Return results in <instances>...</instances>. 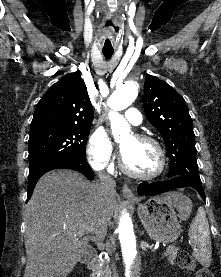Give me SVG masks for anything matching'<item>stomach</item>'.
<instances>
[{"label":"stomach","instance_id":"obj_1","mask_svg":"<svg viewBox=\"0 0 221 277\" xmlns=\"http://www.w3.org/2000/svg\"><path fill=\"white\" fill-rule=\"evenodd\" d=\"M175 207L178 210L175 212ZM192 205L191 202L183 198L178 206L165 200L163 197H153L143 204H138V216L150 236L154 241L170 243L175 241L181 233V220L188 218Z\"/></svg>","mask_w":221,"mask_h":277}]
</instances>
